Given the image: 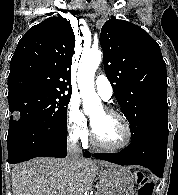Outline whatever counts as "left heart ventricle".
<instances>
[{"label": "left heart ventricle", "mask_w": 178, "mask_h": 195, "mask_svg": "<svg viewBox=\"0 0 178 195\" xmlns=\"http://www.w3.org/2000/svg\"><path fill=\"white\" fill-rule=\"evenodd\" d=\"M94 130L99 140L107 145H119L126 138V131L121 121L109 116L100 109L91 117Z\"/></svg>", "instance_id": "obj_1"}]
</instances>
